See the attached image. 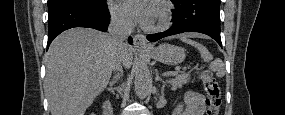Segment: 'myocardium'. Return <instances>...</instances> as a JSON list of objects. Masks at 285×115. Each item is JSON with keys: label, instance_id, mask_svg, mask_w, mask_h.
Segmentation results:
<instances>
[{"label": "myocardium", "instance_id": "1", "mask_svg": "<svg viewBox=\"0 0 285 115\" xmlns=\"http://www.w3.org/2000/svg\"><path fill=\"white\" fill-rule=\"evenodd\" d=\"M156 8L159 12L158 21L150 26H146V30L151 32H158L165 30L171 24L172 11L171 6L167 1L159 0L156 2Z\"/></svg>", "mask_w": 285, "mask_h": 115}]
</instances>
